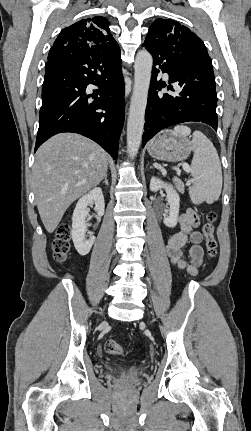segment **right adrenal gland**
Segmentation results:
<instances>
[{
	"mask_svg": "<svg viewBox=\"0 0 251 431\" xmlns=\"http://www.w3.org/2000/svg\"><path fill=\"white\" fill-rule=\"evenodd\" d=\"M102 183H105V184H106V186H108V185H109V183H108V175H107V174L105 175V177H104V181H102Z\"/></svg>",
	"mask_w": 251,
	"mask_h": 431,
	"instance_id": "right-adrenal-gland-1",
	"label": "right adrenal gland"
}]
</instances>
